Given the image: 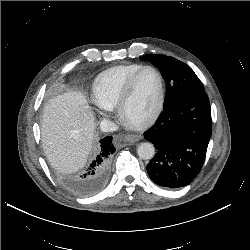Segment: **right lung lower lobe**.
I'll return each instance as SVG.
<instances>
[{
	"label": "right lung lower lobe",
	"instance_id": "obj_1",
	"mask_svg": "<svg viewBox=\"0 0 250 250\" xmlns=\"http://www.w3.org/2000/svg\"><path fill=\"white\" fill-rule=\"evenodd\" d=\"M115 150L111 136L100 140L97 157L76 183V190L80 195L90 196L101 191L107 182L109 160Z\"/></svg>",
	"mask_w": 250,
	"mask_h": 250
}]
</instances>
